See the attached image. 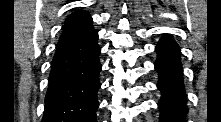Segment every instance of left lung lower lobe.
<instances>
[{
    "label": "left lung lower lobe",
    "instance_id": "obj_1",
    "mask_svg": "<svg viewBox=\"0 0 221 122\" xmlns=\"http://www.w3.org/2000/svg\"><path fill=\"white\" fill-rule=\"evenodd\" d=\"M158 58L155 69L159 73L158 89L162 97L158 103L160 122H181L188 109L182 78L180 49L168 36L160 39L156 46Z\"/></svg>",
    "mask_w": 221,
    "mask_h": 122
}]
</instances>
